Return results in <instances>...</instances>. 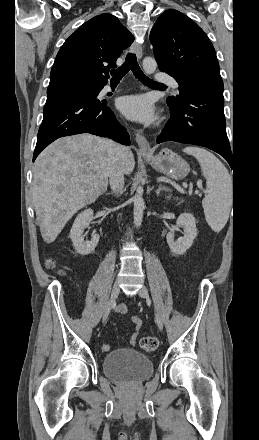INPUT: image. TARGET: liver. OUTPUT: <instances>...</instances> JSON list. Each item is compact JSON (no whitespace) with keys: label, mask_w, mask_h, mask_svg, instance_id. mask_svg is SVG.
Returning a JSON list of instances; mask_svg holds the SVG:
<instances>
[{"label":"liver","mask_w":259,"mask_h":440,"mask_svg":"<svg viewBox=\"0 0 259 440\" xmlns=\"http://www.w3.org/2000/svg\"><path fill=\"white\" fill-rule=\"evenodd\" d=\"M115 143L91 134L59 138L37 157L33 168V204L43 240L55 241L66 223L107 189ZM123 171L134 167L127 147Z\"/></svg>","instance_id":"6515ba94"}]
</instances>
